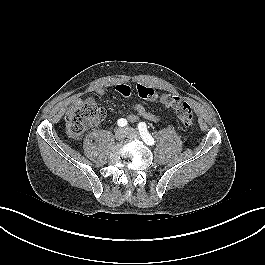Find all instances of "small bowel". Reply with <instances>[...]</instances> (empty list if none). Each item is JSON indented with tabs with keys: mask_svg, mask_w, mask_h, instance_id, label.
<instances>
[{
	"mask_svg": "<svg viewBox=\"0 0 265 265\" xmlns=\"http://www.w3.org/2000/svg\"><path fill=\"white\" fill-rule=\"evenodd\" d=\"M116 90H117L118 93H120L123 96H129L130 93H131L130 87L128 85H125V84L117 85L116 86ZM96 93L99 96H104L106 91L103 88H98L96 90ZM165 95H167V94H162V96H165ZM90 101H94V99H90ZM159 101L162 104H164L161 99ZM133 110H134V113H132V114H130L128 116V119L131 122H137L140 117H143V118H145V119H147L149 121H152V122H157L159 120V117L156 114H154L153 112H150L149 110H147L146 107L144 105L140 104V103L134 104L133 105Z\"/></svg>",
	"mask_w": 265,
	"mask_h": 265,
	"instance_id": "small-bowel-1",
	"label": "small bowel"
}]
</instances>
